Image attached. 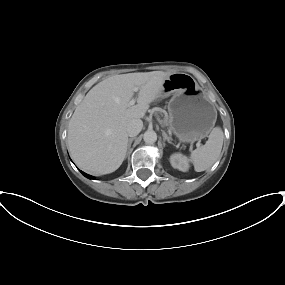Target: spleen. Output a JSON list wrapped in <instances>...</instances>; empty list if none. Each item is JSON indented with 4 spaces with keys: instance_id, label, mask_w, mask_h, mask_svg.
<instances>
[{
    "instance_id": "3e777b00",
    "label": "spleen",
    "mask_w": 285,
    "mask_h": 285,
    "mask_svg": "<svg viewBox=\"0 0 285 285\" xmlns=\"http://www.w3.org/2000/svg\"><path fill=\"white\" fill-rule=\"evenodd\" d=\"M205 145L191 152L190 159L196 172L205 171L210 168L219 158L224 134L220 127H215L208 136Z\"/></svg>"
}]
</instances>
